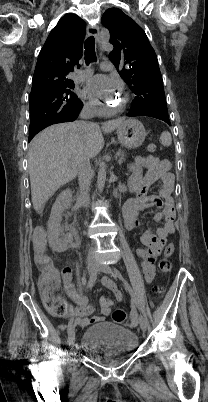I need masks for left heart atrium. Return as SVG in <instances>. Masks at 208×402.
<instances>
[{
    "instance_id": "1",
    "label": "left heart atrium",
    "mask_w": 208,
    "mask_h": 402,
    "mask_svg": "<svg viewBox=\"0 0 208 402\" xmlns=\"http://www.w3.org/2000/svg\"><path fill=\"white\" fill-rule=\"evenodd\" d=\"M113 88L111 80L103 74H97L87 79L86 85L83 88L81 95L86 99H107L104 97L106 92Z\"/></svg>"
}]
</instances>
